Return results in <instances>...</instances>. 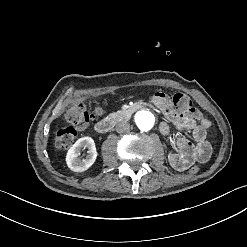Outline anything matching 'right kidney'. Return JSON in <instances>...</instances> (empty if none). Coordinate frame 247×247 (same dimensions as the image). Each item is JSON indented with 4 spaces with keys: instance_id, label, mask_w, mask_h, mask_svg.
<instances>
[{
    "instance_id": "right-kidney-1",
    "label": "right kidney",
    "mask_w": 247,
    "mask_h": 247,
    "mask_svg": "<svg viewBox=\"0 0 247 247\" xmlns=\"http://www.w3.org/2000/svg\"><path fill=\"white\" fill-rule=\"evenodd\" d=\"M88 149L84 159L80 158L82 150ZM97 151L94 140L91 137H82L68 150L66 155L67 166L74 172L87 170L96 160Z\"/></svg>"
}]
</instances>
